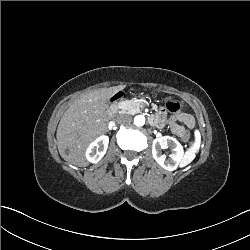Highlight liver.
I'll use <instances>...</instances> for the list:
<instances>
[{"instance_id": "1", "label": "liver", "mask_w": 250, "mask_h": 250, "mask_svg": "<svg viewBox=\"0 0 250 250\" xmlns=\"http://www.w3.org/2000/svg\"><path fill=\"white\" fill-rule=\"evenodd\" d=\"M125 86L82 93L62 116L56 133L61 157L76 166L89 165L85 148L97 136L108 132L107 101Z\"/></svg>"}]
</instances>
